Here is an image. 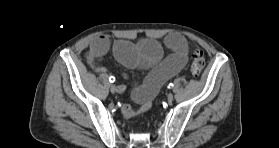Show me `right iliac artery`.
I'll return each instance as SVG.
<instances>
[{
  "label": "right iliac artery",
  "mask_w": 279,
  "mask_h": 148,
  "mask_svg": "<svg viewBox=\"0 0 279 148\" xmlns=\"http://www.w3.org/2000/svg\"><path fill=\"white\" fill-rule=\"evenodd\" d=\"M109 81H110L111 83L115 82V77H114V76H110V77H109ZM124 89H125L124 86L121 87L120 92H121L122 90H124Z\"/></svg>",
  "instance_id": "82829eb1"
}]
</instances>
